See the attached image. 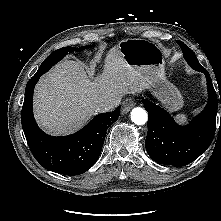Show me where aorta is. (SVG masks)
<instances>
[{
    "instance_id": "obj_1",
    "label": "aorta",
    "mask_w": 221,
    "mask_h": 221,
    "mask_svg": "<svg viewBox=\"0 0 221 221\" xmlns=\"http://www.w3.org/2000/svg\"><path fill=\"white\" fill-rule=\"evenodd\" d=\"M131 121L137 125H143L147 122L148 115L145 109L136 107L131 111Z\"/></svg>"
}]
</instances>
